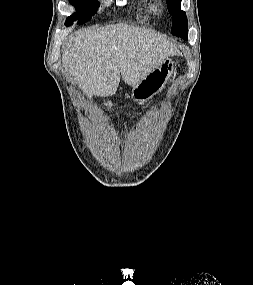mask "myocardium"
Returning <instances> with one entry per match:
<instances>
[{"label":"myocardium","instance_id":"f54148a6","mask_svg":"<svg viewBox=\"0 0 253 285\" xmlns=\"http://www.w3.org/2000/svg\"><path fill=\"white\" fill-rule=\"evenodd\" d=\"M159 9L162 10L163 9V5L159 4Z\"/></svg>","mask_w":253,"mask_h":285}]
</instances>
